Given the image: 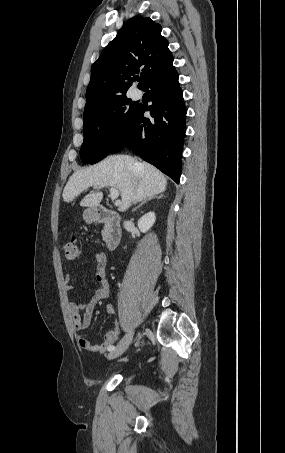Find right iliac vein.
Instances as JSON below:
<instances>
[{
	"mask_svg": "<svg viewBox=\"0 0 285 453\" xmlns=\"http://www.w3.org/2000/svg\"><path fill=\"white\" fill-rule=\"evenodd\" d=\"M134 329H130L127 334L121 339V341L117 344L115 349L110 351L108 354V359H114L122 355L126 349L129 347V345L132 342L133 336H134Z\"/></svg>",
	"mask_w": 285,
	"mask_h": 453,
	"instance_id": "obj_1",
	"label": "right iliac vein"
}]
</instances>
